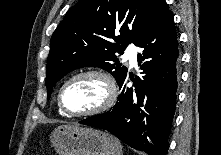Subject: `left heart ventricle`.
Segmentation results:
<instances>
[{"label": "left heart ventricle", "mask_w": 221, "mask_h": 155, "mask_svg": "<svg viewBox=\"0 0 221 155\" xmlns=\"http://www.w3.org/2000/svg\"><path fill=\"white\" fill-rule=\"evenodd\" d=\"M105 97L103 82L96 77H83L71 82L63 92V103L72 112L91 110Z\"/></svg>", "instance_id": "obj_1"}]
</instances>
